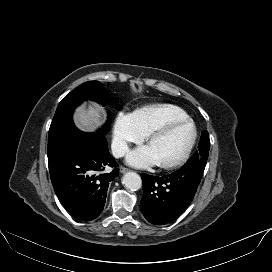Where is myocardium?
Here are the masks:
<instances>
[{"label":"myocardium","mask_w":272,"mask_h":272,"mask_svg":"<svg viewBox=\"0 0 272 272\" xmlns=\"http://www.w3.org/2000/svg\"><path fill=\"white\" fill-rule=\"evenodd\" d=\"M180 124H187L191 127L192 129V138L191 141L188 145V147L186 148L185 152L175 161L170 162V163H158V166L162 169H175L181 165H183L190 157L196 141H197V137H198V131H197V127L194 123V121L191 118H183V119H173L170 120L164 124H162L161 126L155 128L154 130H152L149 134H147L146 136V143L147 145L156 137H159L163 134H165L166 132H168L171 128L180 125Z\"/></svg>","instance_id":"myocardium-1"}]
</instances>
